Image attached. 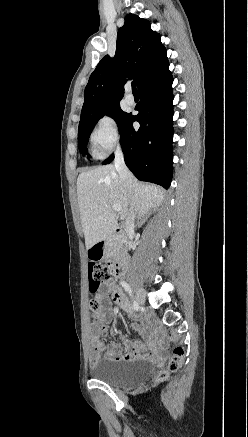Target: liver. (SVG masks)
Returning <instances> with one entry per match:
<instances>
[{"instance_id": "1", "label": "liver", "mask_w": 248, "mask_h": 437, "mask_svg": "<svg viewBox=\"0 0 248 437\" xmlns=\"http://www.w3.org/2000/svg\"><path fill=\"white\" fill-rule=\"evenodd\" d=\"M131 191L120 179L115 166H99L82 172L77 178V199L87 249L111 236L117 226L113 204L122 207L121 215L127 219L131 202L137 208V217L144 218L164 199V192L155 185L131 178Z\"/></svg>"}]
</instances>
